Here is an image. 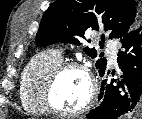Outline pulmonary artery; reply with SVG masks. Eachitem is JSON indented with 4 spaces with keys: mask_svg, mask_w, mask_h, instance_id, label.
Wrapping results in <instances>:
<instances>
[{
    "mask_svg": "<svg viewBox=\"0 0 142 119\" xmlns=\"http://www.w3.org/2000/svg\"><path fill=\"white\" fill-rule=\"evenodd\" d=\"M107 48H108V51H109V54H110L111 62L116 63V61H117V52H118L117 46H115L111 42H108L107 43Z\"/></svg>",
    "mask_w": 142,
    "mask_h": 119,
    "instance_id": "e3ab8cb5",
    "label": "pulmonary artery"
}]
</instances>
